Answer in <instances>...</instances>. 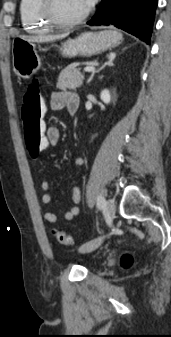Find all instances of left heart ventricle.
<instances>
[{
	"label": "left heart ventricle",
	"mask_w": 171,
	"mask_h": 337,
	"mask_svg": "<svg viewBox=\"0 0 171 337\" xmlns=\"http://www.w3.org/2000/svg\"><path fill=\"white\" fill-rule=\"evenodd\" d=\"M57 14L64 19H71L83 13L87 7L83 0H55Z\"/></svg>",
	"instance_id": "b2bd125f"
}]
</instances>
